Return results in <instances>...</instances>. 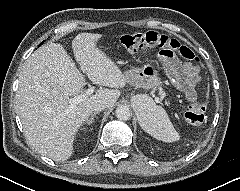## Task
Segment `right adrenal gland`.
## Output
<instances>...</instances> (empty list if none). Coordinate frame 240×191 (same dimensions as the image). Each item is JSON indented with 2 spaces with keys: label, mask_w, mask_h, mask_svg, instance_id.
I'll return each instance as SVG.
<instances>
[{
  "label": "right adrenal gland",
  "mask_w": 240,
  "mask_h": 191,
  "mask_svg": "<svg viewBox=\"0 0 240 191\" xmlns=\"http://www.w3.org/2000/svg\"><path fill=\"white\" fill-rule=\"evenodd\" d=\"M96 114H98V112H94L89 118V120L86 121V124L90 125L91 123H93L94 117L96 116Z\"/></svg>",
  "instance_id": "2a0ac1e0"
}]
</instances>
